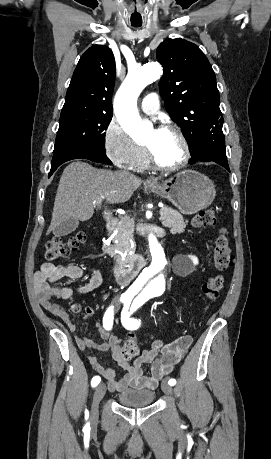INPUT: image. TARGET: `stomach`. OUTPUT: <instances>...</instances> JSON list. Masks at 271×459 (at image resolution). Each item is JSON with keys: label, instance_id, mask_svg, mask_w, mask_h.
<instances>
[{"label": "stomach", "instance_id": "obj_1", "mask_svg": "<svg viewBox=\"0 0 271 459\" xmlns=\"http://www.w3.org/2000/svg\"><path fill=\"white\" fill-rule=\"evenodd\" d=\"M145 188L167 198L182 214H197L200 210H206L216 196L213 182L195 170H183L159 186L145 184Z\"/></svg>", "mask_w": 271, "mask_h": 459}]
</instances>
